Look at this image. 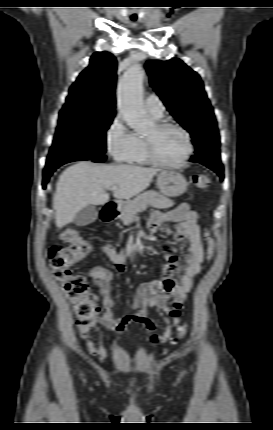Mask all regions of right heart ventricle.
Returning a JSON list of instances; mask_svg holds the SVG:
<instances>
[{
	"mask_svg": "<svg viewBox=\"0 0 273 430\" xmlns=\"http://www.w3.org/2000/svg\"><path fill=\"white\" fill-rule=\"evenodd\" d=\"M151 116L154 119L159 118V117H155L152 114H151ZM136 136H137V140H138V147H137V150L135 151V153L133 154V156L129 162L132 164H135V165H147L150 162H149V159L147 156L145 139L143 136H140V135H136Z\"/></svg>",
	"mask_w": 273,
	"mask_h": 430,
	"instance_id": "obj_1",
	"label": "right heart ventricle"
}]
</instances>
